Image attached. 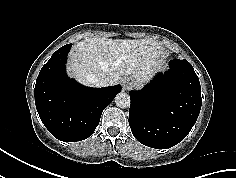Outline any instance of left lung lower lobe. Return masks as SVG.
Returning a JSON list of instances; mask_svg holds the SVG:
<instances>
[{"label": "left lung lower lobe", "mask_w": 236, "mask_h": 178, "mask_svg": "<svg viewBox=\"0 0 236 178\" xmlns=\"http://www.w3.org/2000/svg\"><path fill=\"white\" fill-rule=\"evenodd\" d=\"M170 70L158 74L142 91H130L129 125L142 144L170 148L195 124L202 104L201 86L187 60H171Z\"/></svg>", "instance_id": "obj_1"}]
</instances>
